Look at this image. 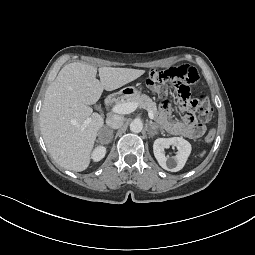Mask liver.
<instances>
[{
  "label": "liver",
  "instance_id": "6515ba94",
  "mask_svg": "<svg viewBox=\"0 0 255 255\" xmlns=\"http://www.w3.org/2000/svg\"><path fill=\"white\" fill-rule=\"evenodd\" d=\"M81 62L65 65L48 87L40 111V128L52 158L63 168L85 170L99 129L104 124L101 115L93 113L103 90L112 91L134 81L145 70L100 67ZM90 118L91 121L85 124Z\"/></svg>",
  "mask_w": 255,
  "mask_h": 255
}]
</instances>
